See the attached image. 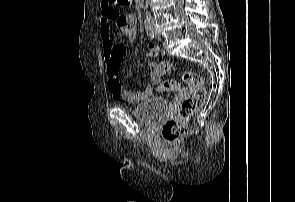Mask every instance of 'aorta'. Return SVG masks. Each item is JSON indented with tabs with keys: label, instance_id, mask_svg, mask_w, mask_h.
I'll use <instances>...</instances> for the list:
<instances>
[{
	"label": "aorta",
	"instance_id": "aorta-1",
	"mask_svg": "<svg viewBox=\"0 0 295 202\" xmlns=\"http://www.w3.org/2000/svg\"><path fill=\"white\" fill-rule=\"evenodd\" d=\"M143 3H144V8L147 9L148 7V0H142ZM148 13V12H147Z\"/></svg>",
	"mask_w": 295,
	"mask_h": 202
}]
</instances>
